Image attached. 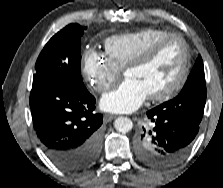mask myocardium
I'll return each mask as SVG.
<instances>
[{
    "instance_id": "obj_1",
    "label": "myocardium",
    "mask_w": 223,
    "mask_h": 188,
    "mask_svg": "<svg viewBox=\"0 0 223 188\" xmlns=\"http://www.w3.org/2000/svg\"><path fill=\"white\" fill-rule=\"evenodd\" d=\"M176 39L180 41L183 47V62L180 69V72L175 79V81L171 84L170 87L166 88L162 92L151 94L148 98L152 101H165L174 95H176L183 85L185 84L189 71H190V62H191V54L190 49L187 41L183 36L177 33H168L156 41L149 44L146 48L140 51L136 56H134L128 64L125 66L124 71H128L130 69L139 67L147 63L155 54L156 52L164 45L167 41Z\"/></svg>"
}]
</instances>
